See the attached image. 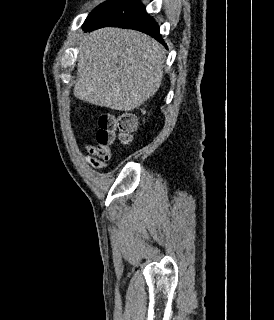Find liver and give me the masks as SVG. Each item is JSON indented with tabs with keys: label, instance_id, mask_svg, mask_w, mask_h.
<instances>
[{
	"label": "liver",
	"instance_id": "obj_1",
	"mask_svg": "<svg viewBox=\"0 0 274 320\" xmlns=\"http://www.w3.org/2000/svg\"><path fill=\"white\" fill-rule=\"evenodd\" d=\"M165 52L156 40L121 28H101L79 42L74 96L101 108L132 112L156 94Z\"/></svg>",
	"mask_w": 274,
	"mask_h": 320
}]
</instances>
